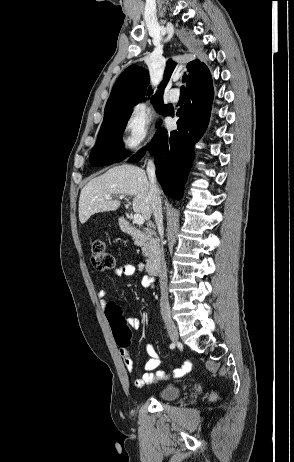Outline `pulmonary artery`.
I'll return each mask as SVG.
<instances>
[{"instance_id": "e3ab8cb5", "label": "pulmonary artery", "mask_w": 294, "mask_h": 462, "mask_svg": "<svg viewBox=\"0 0 294 462\" xmlns=\"http://www.w3.org/2000/svg\"><path fill=\"white\" fill-rule=\"evenodd\" d=\"M179 97H180V93L177 88H173L168 92V99L172 103L178 102Z\"/></svg>"}]
</instances>
